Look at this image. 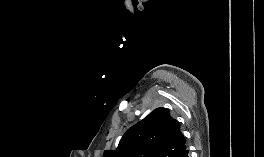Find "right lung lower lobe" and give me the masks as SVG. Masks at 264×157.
Here are the masks:
<instances>
[{"label":"right lung lower lobe","instance_id":"obj_1","mask_svg":"<svg viewBox=\"0 0 264 157\" xmlns=\"http://www.w3.org/2000/svg\"><path fill=\"white\" fill-rule=\"evenodd\" d=\"M188 150L186 149V150H184L182 153H181V155L179 156V157H189L188 156Z\"/></svg>","mask_w":264,"mask_h":157}]
</instances>
